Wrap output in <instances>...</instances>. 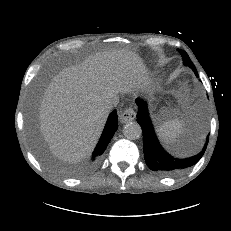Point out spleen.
Wrapping results in <instances>:
<instances>
[{"label":"spleen","instance_id":"spleen-1","mask_svg":"<svg viewBox=\"0 0 231 231\" xmlns=\"http://www.w3.org/2000/svg\"><path fill=\"white\" fill-rule=\"evenodd\" d=\"M184 125V120L176 118L160 124L156 127V131L163 142L170 143L183 132Z\"/></svg>","mask_w":231,"mask_h":231}]
</instances>
